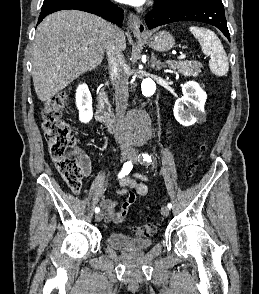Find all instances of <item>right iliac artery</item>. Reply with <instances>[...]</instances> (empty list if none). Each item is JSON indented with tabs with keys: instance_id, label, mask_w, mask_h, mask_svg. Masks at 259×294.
<instances>
[{
	"instance_id": "obj_1",
	"label": "right iliac artery",
	"mask_w": 259,
	"mask_h": 294,
	"mask_svg": "<svg viewBox=\"0 0 259 294\" xmlns=\"http://www.w3.org/2000/svg\"><path fill=\"white\" fill-rule=\"evenodd\" d=\"M133 168V165H132V162L131 161H127L123 164V167L119 173V178H122L124 177L125 175H128L130 173V171L132 170ZM100 211V208L99 207H96L95 208V213H98Z\"/></svg>"
}]
</instances>
